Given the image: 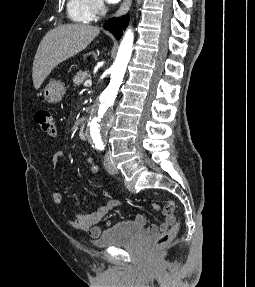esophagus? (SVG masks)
Here are the masks:
<instances>
[{"instance_id": "obj_1", "label": "esophagus", "mask_w": 255, "mask_h": 287, "mask_svg": "<svg viewBox=\"0 0 255 287\" xmlns=\"http://www.w3.org/2000/svg\"><path fill=\"white\" fill-rule=\"evenodd\" d=\"M132 0H123L120 8L116 12V16L125 15L131 6Z\"/></svg>"}]
</instances>
